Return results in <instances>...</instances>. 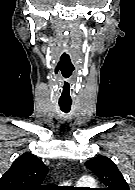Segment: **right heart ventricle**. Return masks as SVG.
Here are the masks:
<instances>
[{"instance_id":"1","label":"right heart ventricle","mask_w":135,"mask_h":190,"mask_svg":"<svg viewBox=\"0 0 135 190\" xmlns=\"http://www.w3.org/2000/svg\"><path fill=\"white\" fill-rule=\"evenodd\" d=\"M94 183L92 181H88V182H78L77 186L78 187H87V186H92Z\"/></svg>"}]
</instances>
